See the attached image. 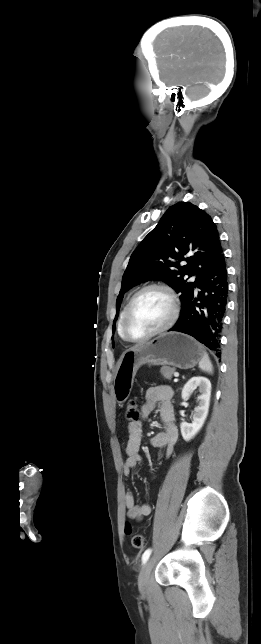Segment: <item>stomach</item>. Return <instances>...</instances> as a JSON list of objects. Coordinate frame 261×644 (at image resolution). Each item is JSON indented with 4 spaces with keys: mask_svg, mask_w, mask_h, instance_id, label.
Segmentation results:
<instances>
[{
    "mask_svg": "<svg viewBox=\"0 0 261 644\" xmlns=\"http://www.w3.org/2000/svg\"><path fill=\"white\" fill-rule=\"evenodd\" d=\"M203 347L182 333H164L125 352L118 362L113 380V393L118 403H124L132 391L137 370L144 364L191 369L204 356Z\"/></svg>",
    "mask_w": 261,
    "mask_h": 644,
    "instance_id": "obj_1",
    "label": "stomach"
}]
</instances>
